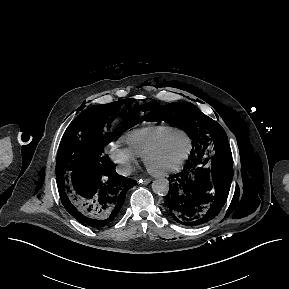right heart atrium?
Segmentation results:
<instances>
[{
    "label": "right heart atrium",
    "instance_id": "d8ad5b80",
    "mask_svg": "<svg viewBox=\"0 0 289 289\" xmlns=\"http://www.w3.org/2000/svg\"><path fill=\"white\" fill-rule=\"evenodd\" d=\"M109 158L121 174H129L133 169L137 159L127 148L116 142L109 152Z\"/></svg>",
    "mask_w": 289,
    "mask_h": 289
}]
</instances>
